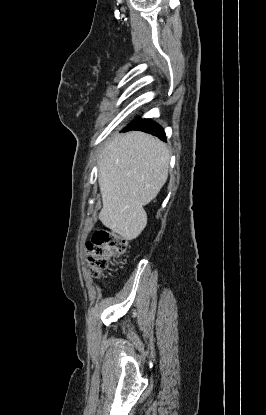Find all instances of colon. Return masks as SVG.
Returning a JSON list of instances; mask_svg holds the SVG:
<instances>
[{"mask_svg":"<svg viewBox=\"0 0 266 415\" xmlns=\"http://www.w3.org/2000/svg\"><path fill=\"white\" fill-rule=\"evenodd\" d=\"M127 249V240L107 230H97L86 244L88 266L93 276H99L113 258L121 257Z\"/></svg>","mask_w":266,"mask_h":415,"instance_id":"obj_1","label":"colon"}]
</instances>
